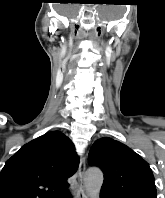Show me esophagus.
Here are the masks:
<instances>
[{
	"label": "esophagus",
	"mask_w": 165,
	"mask_h": 198,
	"mask_svg": "<svg viewBox=\"0 0 165 198\" xmlns=\"http://www.w3.org/2000/svg\"><path fill=\"white\" fill-rule=\"evenodd\" d=\"M85 168H86V158L83 157L80 161V165L77 173V185L75 186L73 192L74 198H87L83 185Z\"/></svg>",
	"instance_id": "1"
}]
</instances>
